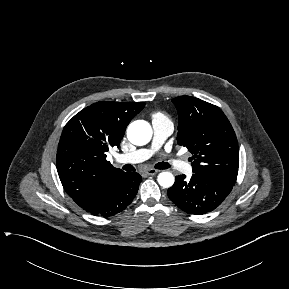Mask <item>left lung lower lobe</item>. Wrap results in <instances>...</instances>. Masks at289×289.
<instances>
[{"mask_svg": "<svg viewBox=\"0 0 289 289\" xmlns=\"http://www.w3.org/2000/svg\"><path fill=\"white\" fill-rule=\"evenodd\" d=\"M185 175L175 177L168 189L169 199L185 212L202 215L216 209L229 195L233 186L200 174L190 180Z\"/></svg>", "mask_w": 289, "mask_h": 289, "instance_id": "0a47b994", "label": "left lung lower lobe"}]
</instances>
